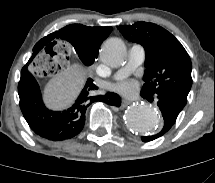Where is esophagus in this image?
Here are the masks:
<instances>
[{"mask_svg": "<svg viewBox=\"0 0 215 183\" xmlns=\"http://www.w3.org/2000/svg\"><path fill=\"white\" fill-rule=\"evenodd\" d=\"M132 102H133L132 100L123 99L122 100V106L125 107V106L131 104Z\"/></svg>", "mask_w": 215, "mask_h": 183, "instance_id": "obj_1", "label": "esophagus"}]
</instances>
